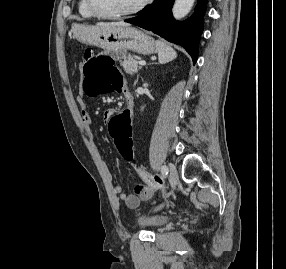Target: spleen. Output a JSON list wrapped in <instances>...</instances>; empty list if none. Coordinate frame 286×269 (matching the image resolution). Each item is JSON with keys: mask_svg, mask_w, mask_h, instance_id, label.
Wrapping results in <instances>:
<instances>
[{"mask_svg": "<svg viewBox=\"0 0 286 269\" xmlns=\"http://www.w3.org/2000/svg\"><path fill=\"white\" fill-rule=\"evenodd\" d=\"M159 63L165 64L177 57L176 51L162 41H156Z\"/></svg>", "mask_w": 286, "mask_h": 269, "instance_id": "obj_1", "label": "spleen"}]
</instances>
